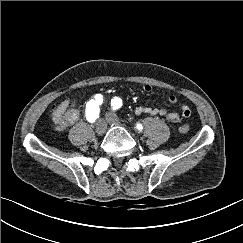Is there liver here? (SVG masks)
I'll return each instance as SVG.
<instances>
[{"label":"liver","mask_w":243,"mask_h":243,"mask_svg":"<svg viewBox=\"0 0 243 243\" xmlns=\"http://www.w3.org/2000/svg\"><path fill=\"white\" fill-rule=\"evenodd\" d=\"M69 104V101L66 100L64 102H62L58 108L56 109V111L54 112V117H53V121L58 124L61 120L62 114L65 112L67 106Z\"/></svg>","instance_id":"obj_1"}]
</instances>
